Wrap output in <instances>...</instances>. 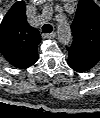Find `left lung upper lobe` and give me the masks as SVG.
Segmentation results:
<instances>
[{
    "label": "left lung upper lobe",
    "instance_id": "left-lung-upper-lobe-1",
    "mask_svg": "<svg viewBox=\"0 0 100 118\" xmlns=\"http://www.w3.org/2000/svg\"><path fill=\"white\" fill-rule=\"evenodd\" d=\"M71 30L68 65L77 72L88 71L100 60L99 6L92 0H80Z\"/></svg>",
    "mask_w": 100,
    "mask_h": 118
}]
</instances>
